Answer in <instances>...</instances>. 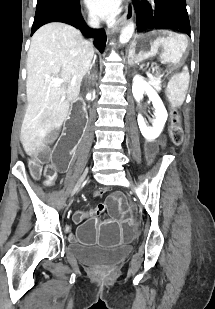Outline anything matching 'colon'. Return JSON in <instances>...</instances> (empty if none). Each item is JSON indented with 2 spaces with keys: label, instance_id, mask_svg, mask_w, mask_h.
Segmentation results:
<instances>
[{
  "label": "colon",
  "instance_id": "5ec220e1",
  "mask_svg": "<svg viewBox=\"0 0 215 309\" xmlns=\"http://www.w3.org/2000/svg\"><path fill=\"white\" fill-rule=\"evenodd\" d=\"M171 139L176 146H179L183 141V131L179 113L176 108L171 109ZM56 178V167L50 165L46 169L45 185L51 186Z\"/></svg>",
  "mask_w": 215,
  "mask_h": 309
}]
</instances>
